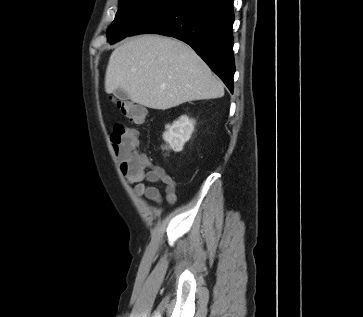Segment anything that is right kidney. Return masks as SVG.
Masks as SVG:
<instances>
[{"instance_id": "obj_1", "label": "right kidney", "mask_w": 363, "mask_h": 317, "mask_svg": "<svg viewBox=\"0 0 363 317\" xmlns=\"http://www.w3.org/2000/svg\"><path fill=\"white\" fill-rule=\"evenodd\" d=\"M195 121L189 119L186 115L181 116L172 125H166V130L163 134V139L169 145L168 148L175 152H180L184 144L190 139L194 131Z\"/></svg>"}]
</instances>
